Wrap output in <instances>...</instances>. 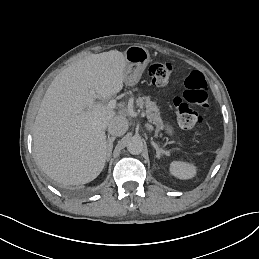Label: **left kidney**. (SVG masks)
<instances>
[{"mask_svg": "<svg viewBox=\"0 0 259 259\" xmlns=\"http://www.w3.org/2000/svg\"><path fill=\"white\" fill-rule=\"evenodd\" d=\"M171 173L180 179L192 178L195 174V168L192 165L173 162L171 164Z\"/></svg>", "mask_w": 259, "mask_h": 259, "instance_id": "obj_1", "label": "left kidney"}]
</instances>
